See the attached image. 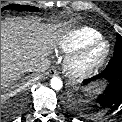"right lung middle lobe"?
<instances>
[{"instance_id": "1", "label": "right lung middle lobe", "mask_w": 122, "mask_h": 122, "mask_svg": "<svg viewBox=\"0 0 122 122\" xmlns=\"http://www.w3.org/2000/svg\"><path fill=\"white\" fill-rule=\"evenodd\" d=\"M6 9H15V10H20V11H38L39 9L37 7L34 6H25V5H8L5 6L1 9V12L6 10Z\"/></svg>"}]
</instances>
